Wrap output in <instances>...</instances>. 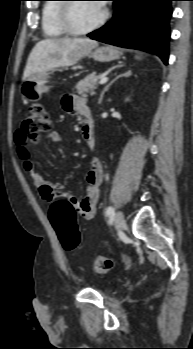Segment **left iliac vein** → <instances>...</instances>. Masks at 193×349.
Segmentation results:
<instances>
[{
    "label": "left iliac vein",
    "mask_w": 193,
    "mask_h": 349,
    "mask_svg": "<svg viewBox=\"0 0 193 349\" xmlns=\"http://www.w3.org/2000/svg\"><path fill=\"white\" fill-rule=\"evenodd\" d=\"M125 224L124 215L121 211H118L114 218V225L116 229H121Z\"/></svg>",
    "instance_id": "1"
}]
</instances>
